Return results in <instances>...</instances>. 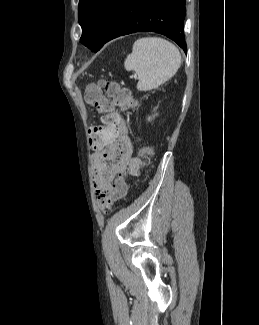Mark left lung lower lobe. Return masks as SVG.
<instances>
[{
  "label": "left lung lower lobe",
  "instance_id": "0a47b994",
  "mask_svg": "<svg viewBox=\"0 0 259 325\" xmlns=\"http://www.w3.org/2000/svg\"><path fill=\"white\" fill-rule=\"evenodd\" d=\"M186 0H122L106 33L103 45L135 32L161 33L185 52Z\"/></svg>",
  "mask_w": 259,
  "mask_h": 325
}]
</instances>
